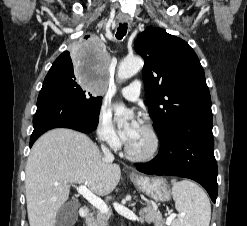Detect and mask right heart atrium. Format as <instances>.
I'll list each match as a JSON object with an SVG mask.
<instances>
[{"instance_id": "1", "label": "right heart atrium", "mask_w": 247, "mask_h": 226, "mask_svg": "<svg viewBox=\"0 0 247 226\" xmlns=\"http://www.w3.org/2000/svg\"><path fill=\"white\" fill-rule=\"evenodd\" d=\"M96 134L100 142L112 147H118L120 141L113 125L112 115L106 106L99 109L96 122Z\"/></svg>"}]
</instances>
